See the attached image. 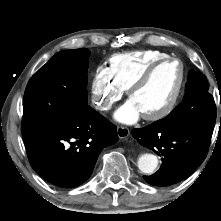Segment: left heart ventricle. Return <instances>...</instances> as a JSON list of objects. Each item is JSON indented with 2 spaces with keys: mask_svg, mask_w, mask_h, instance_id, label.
Returning <instances> with one entry per match:
<instances>
[{
  "mask_svg": "<svg viewBox=\"0 0 221 221\" xmlns=\"http://www.w3.org/2000/svg\"><path fill=\"white\" fill-rule=\"evenodd\" d=\"M181 76L178 63H167L158 68L150 80L131 97L141 114H152L167 105L173 97Z\"/></svg>",
  "mask_w": 221,
  "mask_h": 221,
  "instance_id": "left-heart-ventricle-1",
  "label": "left heart ventricle"
}]
</instances>
